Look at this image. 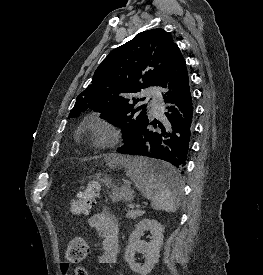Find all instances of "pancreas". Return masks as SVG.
<instances>
[{
  "label": "pancreas",
  "instance_id": "obj_1",
  "mask_svg": "<svg viewBox=\"0 0 263 275\" xmlns=\"http://www.w3.org/2000/svg\"><path fill=\"white\" fill-rule=\"evenodd\" d=\"M143 214H144V212L141 210H136V211L128 210L126 217L130 218V219H136L137 217L142 216Z\"/></svg>",
  "mask_w": 263,
  "mask_h": 275
}]
</instances>
